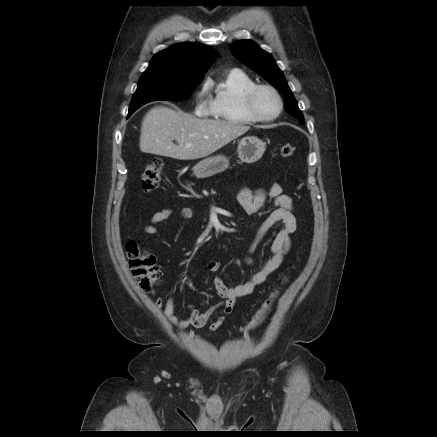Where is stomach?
<instances>
[{"label": "stomach", "instance_id": "obj_1", "mask_svg": "<svg viewBox=\"0 0 437 437\" xmlns=\"http://www.w3.org/2000/svg\"><path fill=\"white\" fill-rule=\"evenodd\" d=\"M265 143L255 136L242 138L238 143V157L242 162L254 163L264 154ZM229 166V160L224 155L208 157L193 167V174L197 178H207L225 171Z\"/></svg>", "mask_w": 437, "mask_h": 437}]
</instances>
